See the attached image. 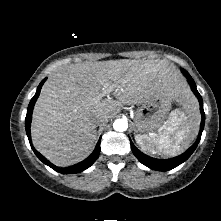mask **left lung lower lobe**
<instances>
[{
    "label": "left lung lower lobe",
    "mask_w": 221,
    "mask_h": 221,
    "mask_svg": "<svg viewBox=\"0 0 221 221\" xmlns=\"http://www.w3.org/2000/svg\"><path fill=\"white\" fill-rule=\"evenodd\" d=\"M182 72L184 73V75L188 79V82L191 85L192 91L194 92V94L196 95V97L198 98L199 103H200V111H201V115H202V120H201V124H200V131H199L197 141L182 155L171 158V159H166V160L155 159V158H152V157H149V156L143 154L130 141L132 152L137 157V159L145 166H147L151 169L157 170V171L164 172V171L171 170V169L177 167L178 165H180L181 163H183L184 161H186L191 156V154L194 152L196 147L198 146L200 139H201L202 131L204 128L205 113L203 110L202 97L199 94V92L197 91L195 82L192 79V77L189 75V73L186 72L184 69H182Z\"/></svg>",
    "instance_id": "obj_1"
}]
</instances>
